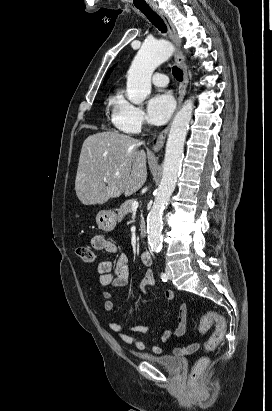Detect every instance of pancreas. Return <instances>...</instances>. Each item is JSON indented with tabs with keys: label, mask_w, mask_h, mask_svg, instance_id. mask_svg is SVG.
I'll list each match as a JSON object with an SVG mask.
<instances>
[{
	"label": "pancreas",
	"mask_w": 272,
	"mask_h": 411,
	"mask_svg": "<svg viewBox=\"0 0 272 411\" xmlns=\"http://www.w3.org/2000/svg\"><path fill=\"white\" fill-rule=\"evenodd\" d=\"M132 202L133 200H127L120 206V208L118 209V220H122L128 213L131 212Z\"/></svg>",
	"instance_id": "1"
}]
</instances>
